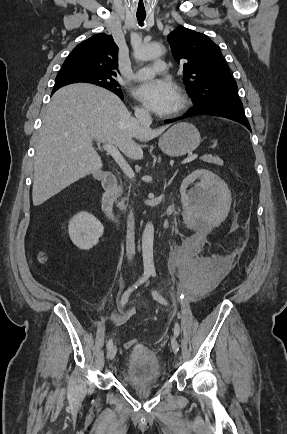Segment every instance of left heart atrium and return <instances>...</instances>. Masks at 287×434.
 <instances>
[{"label":"left heart atrium","instance_id":"left-heart-atrium-1","mask_svg":"<svg viewBox=\"0 0 287 434\" xmlns=\"http://www.w3.org/2000/svg\"><path fill=\"white\" fill-rule=\"evenodd\" d=\"M135 96L158 114L172 112L179 100L176 86L168 81L151 80L135 89Z\"/></svg>","mask_w":287,"mask_h":434}]
</instances>
